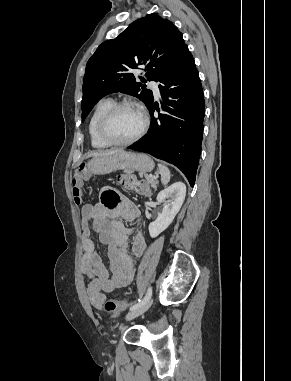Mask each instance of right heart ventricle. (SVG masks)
Returning <instances> with one entry per match:
<instances>
[{
	"mask_svg": "<svg viewBox=\"0 0 291 381\" xmlns=\"http://www.w3.org/2000/svg\"><path fill=\"white\" fill-rule=\"evenodd\" d=\"M114 104V102L109 99L100 100L95 106L88 124V133L90 142L93 148L105 149L111 147L110 144L105 142L98 133V122L101 116Z\"/></svg>",
	"mask_w": 291,
	"mask_h": 381,
	"instance_id": "1",
	"label": "right heart ventricle"
}]
</instances>
